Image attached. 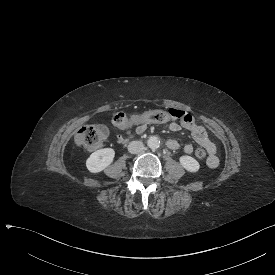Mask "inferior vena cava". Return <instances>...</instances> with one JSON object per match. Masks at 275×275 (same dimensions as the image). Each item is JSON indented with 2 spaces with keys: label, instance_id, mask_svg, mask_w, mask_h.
Here are the masks:
<instances>
[{
  "label": "inferior vena cava",
  "instance_id": "obj_1",
  "mask_svg": "<svg viewBox=\"0 0 275 275\" xmlns=\"http://www.w3.org/2000/svg\"><path fill=\"white\" fill-rule=\"evenodd\" d=\"M144 145L141 141H132L128 145V152L131 154H137L143 151Z\"/></svg>",
  "mask_w": 275,
  "mask_h": 275
}]
</instances>
